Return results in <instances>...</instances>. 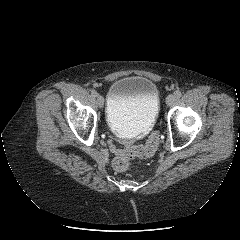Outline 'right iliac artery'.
I'll use <instances>...</instances> for the list:
<instances>
[{
  "label": "right iliac artery",
  "mask_w": 240,
  "mask_h": 240,
  "mask_svg": "<svg viewBox=\"0 0 240 240\" xmlns=\"http://www.w3.org/2000/svg\"><path fill=\"white\" fill-rule=\"evenodd\" d=\"M92 96H94V97H97V96H98V93H97L96 90H92Z\"/></svg>",
  "instance_id": "right-iliac-artery-1"
}]
</instances>
